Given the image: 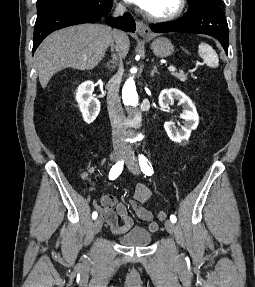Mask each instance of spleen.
<instances>
[{
  "mask_svg": "<svg viewBox=\"0 0 255 287\" xmlns=\"http://www.w3.org/2000/svg\"><path fill=\"white\" fill-rule=\"evenodd\" d=\"M199 54H201L205 60V64L210 66V68H217V66H219V58L213 48L208 46V44H200Z\"/></svg>",
  "mask_w": 255,
  "mask_h": 287,
  "instance_id": "1",
  "label": "spleen"
}]
</instances>
